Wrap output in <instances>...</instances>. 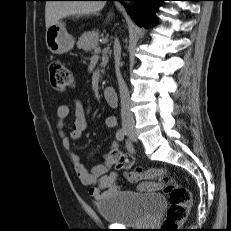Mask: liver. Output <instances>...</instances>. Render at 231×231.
<instances>
[{
    "label": "liver",
    "instance_id": "6515ba94",
    "mask_svg": "<svg viewBox=\"0 0 231 231\" xmlns=\"http://www.w3.org/2000/svg\"><path fill=\"white\" fill-rule=\"evenodd\" d=\"M105 4V1H48L45 6L46 29L69 16L96 15Z\"/></svg>",
    "mask_w": 231,
    "mask_h": 231
}]
</instances>
